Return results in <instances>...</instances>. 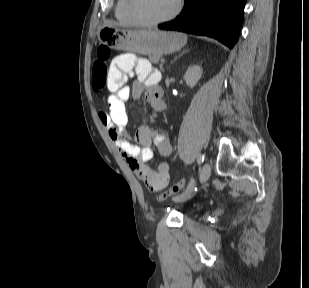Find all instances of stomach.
<instances>
[{"instance_id": "obj_1", "label": "stomach", "mask_w": 309, "mask_h": 288, "mask_svg": "<svg viewBox=\"0 0 309 288\" xmlns=\"http://www.w3.org/2000/svg\"><path fill=\"white\" fill-rule=\"evenodd\" d=\"M100 44L149 57L180 50L187 42L183 33L159 30H130L104 25L97 34Z\"/></svg>"}]
</instances>
